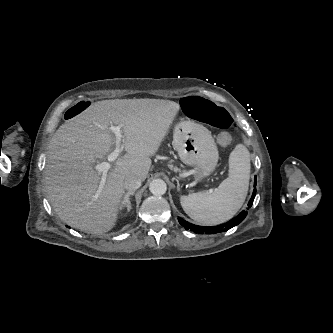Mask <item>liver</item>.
I'll use <instances>...</instances> for the list:
<instances>
[{"label":"liver","mask_w":333,"mask_h":333,"mask_svg":"<svg viewBox=\"0 0 333 333\" xmlns=\"http://www.w3.org/2000/svg\"><path fill=\"white\" fill-rule=\"evenodd\" d=\"M179 104L160 99H114L90 104L67 120L50 140L45 166L48 200L68 225L88 233L110 231L117 222L124 181L145 180ZM120 125L126 151L107 174L94 169L114 146L108 127Z\"/></svg>","instance_id":"6515ba94"}]
</instances>
